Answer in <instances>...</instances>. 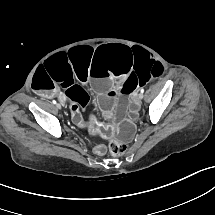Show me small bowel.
Wrapping results in <instances>:
<instances>
[{
    "mask_svg": "<svg viewBox=\"0 0 215 215\" xmlns=\"http://www.w3.org/2000/svg\"><path fill=\"white\" fill-rule=\"evenodd\" d=\"M64 95L68 98V93H64ZM95 151H96L97 154L102 155L105 152V147L104 146H98L95 149Z\"/></svg>",
    "mask_w": 215,
    "mask_h": 215,
    "instance_id": "obj_1",
    "label": "small bowel"
}]
</instances>
